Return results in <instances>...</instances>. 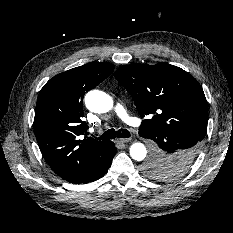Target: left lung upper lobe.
Masks as SVG:
<instances>
[{"mask_svg":"<svg viewBox=\"0 0 233 233\" xmlns=\"http://www.w3.org/2000/svg\"><path fill=\"white\" fill-rule=\"evenodd\" d=\"M114 76L132 96L140 116L148 117L139 132L179 130L196 135L201 144L207 133L208 106L202 87L192 75L158 63L123 66ZM173 169L170 163L154 156L144 166V172L154 178Z\"/></svg>","mask_w":233,"mask_h":233,"instance_id":"left-lung-upper-lobe-1","label":"left lung upper lobe"}]
</instances>
